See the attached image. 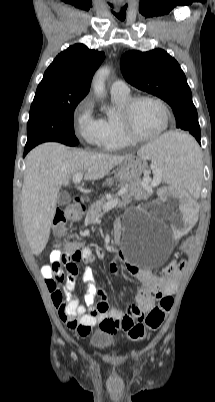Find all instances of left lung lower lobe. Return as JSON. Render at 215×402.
Here are the masks:
<instances>
[{
	"mask_svg": "<svg viewBox=\"0 0 215 402\" xmlns=\"http://www.w3.org/2000/svg\"><path fill=\"white\" fill-rule=\"evenodd\" d=\"M197 141L200 143V139H197Z\"/></svg>",
	"mask_w": 215,
	"mask_h": 402,
	"instance_id": "0a47b994",
	"label": "left lung lower lobe"
}]
</instances>
